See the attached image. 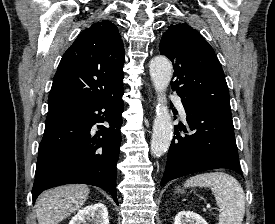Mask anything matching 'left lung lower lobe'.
<instances>
[{
    "mask_svg": "<svg viewBox=\"0 0 275 224\" xmlns=\"http://www.w3.org/2000/svg\"><path fill=\"white\" fill-rule=\"evenodd\" d=\"M187 114V122L193 134L186 127H174L167 164L161 185L199 171L227 168L242 174L234 136L231 114L205 108L181 99Z\"/></svg>",
    "mask_w": 275,
    "mask_h": 224,
    "instance_id": "1",
    "label": "left lung lower lobe"
}]
</instances>
